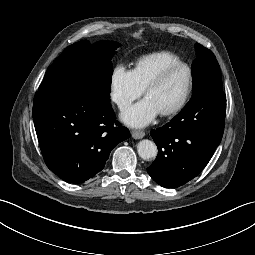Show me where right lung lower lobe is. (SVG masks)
<instances>
[{"label": "right lung lower lobe", "mask_w": 255, "mask_h": 255, "mask_svg": "<svg viewBox=\"0 0 255 255\" xmlns=\"http://www.w3.org/2000/svg\"><path fill=\"white\" fill-rule=\"evenodd\" d=\"M33 120L47 167L70 183L100 172L111 150L130 136L116 122L110 101L74 90L38 91Z\"/></svg>", "instance_id": "right-lung-lower-lobe-1"}]
</instances>
